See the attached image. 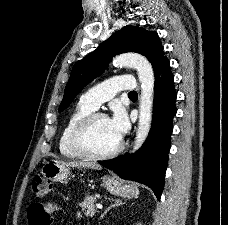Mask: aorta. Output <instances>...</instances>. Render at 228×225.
Returning a JSON list of instances; mask_svg holds the SVG:
<instances>
[{"label":"aorta","instance_id":"aorta-1","mask_svg":"<svg viewBox=\"0 0 228 225\" xmlns=\"http://www.w3.org/2000/svg\"><path fill=\"white\" fill-rule=\"evenodd\" d=\"M114 66H134L137 68L138 78L141 82L139 123L136 131L133 153L138 151L145 143L152 123V106L154 92V70L151 62L135 52H124L113 58Z\"/></svg>","mask_w":228,"mask_h":225}]
</instances>
